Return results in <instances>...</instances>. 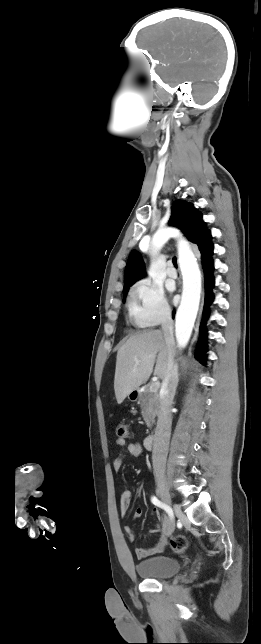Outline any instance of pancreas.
<instances>
[{
	"label": "pancreas",
	"mask_w": 261,
	"mask_h": 644,
	"mask_svg": "<svg viewBox=\"0 0 261 644\" xmlns=\"http://www.w3.org/2000/svg\"><path fill=\"white\" fill-rule=\"evenodd\" d=\"M141 413L147 427H152L158 410V394L146 388L140 396Z\"/></svg>",
	"instance_id": "1"
}]
</instances>
